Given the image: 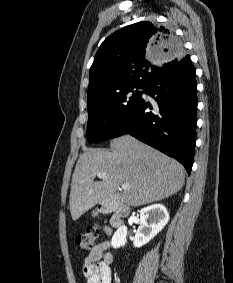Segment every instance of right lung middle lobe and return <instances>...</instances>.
Here are the masks:
<instances>
[{
	"label": "right lung middle lobe",
	"mask_w": 233,
	"mask_h": 283,
	"mask_svg": "<svg viewBox=\"0 0 233 283\" xmlns=\"http://www.w3.org/2000/svg\"><path fill=\"white\" fill-rule=\"evenodd\" d=\"M131 86L109 94L88 106L87 137L90 143L108 140L141 99L142 92Z\"/></svg>",
	"instance_id": "dd1d6c3e"
}]
</instances>
